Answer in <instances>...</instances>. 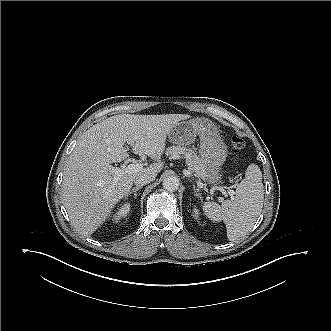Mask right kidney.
<instances>
[{
	"label": "right kidney",
	"mask_w": 331,
	"mask_h": 331,
	"mask_svg": "<svg viewBox=\"0 0 331 331\" xmlns=\"http://www.w3.org/2000/svg\"><path fill=\"white\" fill-rule=\"evenodd\" d=\"M129 211V206L124 207L123 210H121V214H126Z\"/></svg>",
	"instance_id": "right-kidney-1"
}]
</instances>
